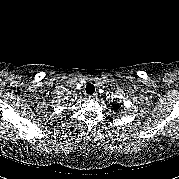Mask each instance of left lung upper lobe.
Wrapping results in <instances>:
<instances>
[{
  "label": "left lung upper lobe",
  "mask_w": 179,
  "mask_h": 179,
  "mask_svg": "<svg viewBox=\"0 0 179 179\" xmlns=\"http://www.w3.org/2000/svg\"><path fill=\"white\" fill-rule=\"evenodd\" d=\"M119 109V105L118 104H113V110H118Z\"/></svg>",
  "instance_id": "1"
}]
</instances>
